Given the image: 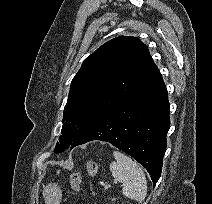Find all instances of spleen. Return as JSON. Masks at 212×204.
Returning a JSON list of instances; mask_svg holds the SVG:
<instances>
[{
    "label": "spleen",
    "mask_w": 212,
    "mask_h": 204,
    "mask_svg": "<svg viewBox=\"0 0 212 204\" xmlns=\"http://www.w3.org/2000/svg\"><path fill=\"white\" fill-rule=\"evenodd\" d=\"M115 161L110 164L113 177L122 183V193L138 202L147 195V181L142 168L130 157L119 151L113 152Z\"/></svg>",
    "instance_id": "3e777b00"
}]
</instances>
